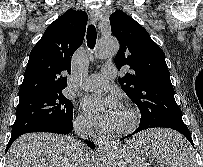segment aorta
<instances>
[{
  "label": "aorta",
  "mask_w": 203,
  "mask_h": 167,
  "mask_svg": "<svg viewBox=\"0 0 203 167\" xmlns=\"http://www.w3.org/2000/svg\"><path fill=\"white\" fill-rule=\"evenodd\" d=\"M119 50V43L115 37L109 36L101 38L96 46L95 57L98 59H107L114 57ZM97 167H108L106 160L99 162Z\"/></svg>",
  "instance_id": "762f6f07"
}]
</instances>
